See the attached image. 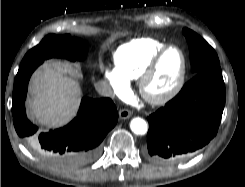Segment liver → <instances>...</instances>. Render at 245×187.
<instances>
[{
	"mask_svg": "<svg viewBox=\"0 0 245 187\" xmlns=\"http://www.w3.org/2000/svg\"><path fill=\"white\" fill-rule=\"evenodd\" d=\"M29 113L36 122L48 128L66 124L79 105V85L68 75V65L57 61L44 64L30 83Z\"/></svg>",
	"mask_w": 245,
	"mask_h": 187,
	"instance_id": "6515ba94",
	"label": "liver"
}]
</instances>
